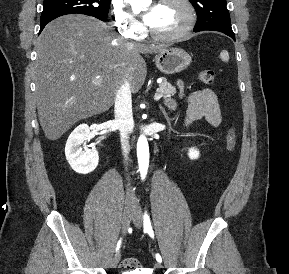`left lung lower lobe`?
Wrapping results in <instances>:
<instances>
[{
	"label": "left lung lower lobe",
	"instance_id": "obj_1",
	"mask_svg": "<svg viewBox=\"0 0 289 274\" xmlns=\"http://www.w3.org/2000/svg\"><path fill=\"white\" fill-rule=\"evenodd\" d=\"M195 32H198V31H195ZM220 32L230 36L233 40H235V36H234L233 31H220Z\"/></svg>",
	"mask_w": 289,
	"mask_h": 274
}]
</instances>
